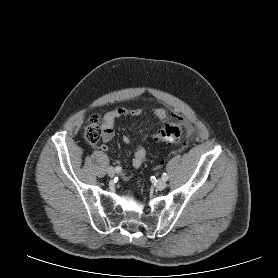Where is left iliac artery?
Instances as JSON below:
<instances>
[{
  "instance_id": "left-iliac-artery-1",
  "label": "left iliac artery",
  "mask_w": 278,
  "mask_h": 278,
  "mask_svg": "<svg viewBox=\"0 0 278 278\" xmlns=\"http://www.w3.org/2000/svg\"><path fill=\"white\" fill-rule=\"evenodd\" d=\"M162 179H163L164 181H167V180H168V175H167V173H163Z\"/></svg>"
}]
</instances>
